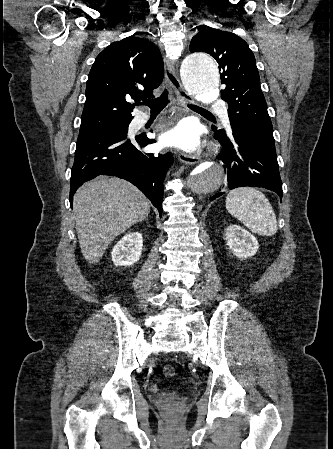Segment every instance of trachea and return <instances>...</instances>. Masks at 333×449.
Listing matches in <instances>:
<instances>
[{"mask_svg": "<svg viewBox=\"0 0 333 449\" xmlns=\"http://www.w3.org/2000/svg\"><path fill=\"white\" fill-rule=\"evenodd\" d=\"M168 102H169L168 91L165 90L160 97L152 99V100L143 99V103H141V104L150 107L151 112L153 113V112L162 111L166 107ZM188 107H190L192 110H195V111L207 112V110H205L201 107H198L196 105L188 104Z\"/></svg>", "mask_w": 333, "mask_h": 449, "instance_id": "trachea-1", "label": "trachea"}]
</instances>
